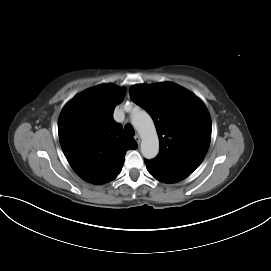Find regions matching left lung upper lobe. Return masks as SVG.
Wrapping results in <instances>:
<instances>
[{
	"instance_id": "left-lung-upper-lobe-1",
	"label": "left lung upper lobe",
	"mask_w": 271,
	"mask_h": 271,
	"mask_svg": "<svg viewBox=\"0 0 271 271\" xmlns=\"http://www.w3.org/2000/svg\"><path fill=\"white\" fill-rule=\"evenodd\" d=\"M129 93L155 122L160 150L154 160L194 171L211 138V119L204 103L171 82L134 85Z\"/></svg>"
}]
</instances>
